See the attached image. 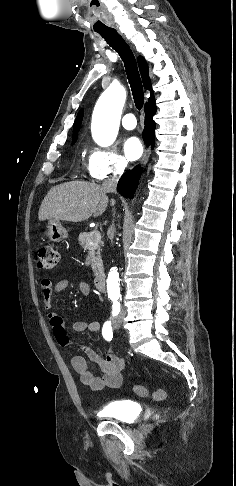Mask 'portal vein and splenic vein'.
<instances>
[{"label":"portal vein and splenic vein","instance_id":"18ae733b","mask_svg":"<svg viewBox=\"0 0 236 486\" xmlns=\"http://www.w3.org/2000/svg\"><path fill=\"white\" fill-rule=\"evenodd\" d=\"M92 233L94 234L95 239L97 241L101 240V235H100V232L99 231H93ZM90 243H92V242H90Z\"/></svg>","mask_w":236,"mask_h":486}]
</instances>
